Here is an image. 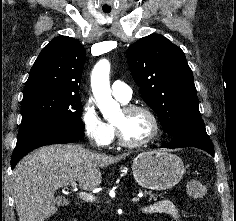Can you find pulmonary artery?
Listing matches in <instances>:
<instances>
[{
    "instance_id": "1",
    "label": "pulmonary artery",
    "mask_w": 236,
    "mask_h": 221,
    "mask_svg": "<svg viewBox=\"0 0 236 221\" xmlns=\"http://www.w3.org/2000/svg\"><path fill=\"white\" fill-rule=\"evenodd\" d=\"M112 94L119 101L127 103L130 101L132 97V89L125 82L121 80H116L112 84Z\"/></svg>"
}]
</instances>
